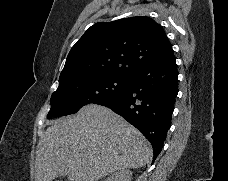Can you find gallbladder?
<instances>
[{
  "label": "gallbladder",
  "instance_id": "gallbladder-1",
  "mask_svg": "<svg viewBox=\"0 0 228 181\" xmlns=\"http://www.w3.org/2000/svg\"><path fill=\"white\" fill-rule=\"evenodd\" d=\"M61 175H66V173H61Z\"/></svg>",
  "mask_w": 228,
  "mask_h": 181
}]
</instances>
